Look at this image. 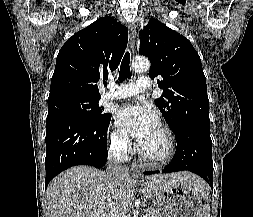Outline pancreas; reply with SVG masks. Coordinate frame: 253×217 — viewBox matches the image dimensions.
I'll return each instance as SVG.
<instances>
[{"label":"pancreas","mask_w":253,"mask_h":217,"mask_svg":"<svg viewBox=\"0 0 253 217\" xmlns=\"http://www.w3.org/2000/svg\"><path fill=\"white\" fill-rule=\"evenodd\" d=\"M150 214L151 216L150 217H161L160 213L158 212V210H150Z\"/></svg>","instance_id":"obj_1"}]
</instances>
